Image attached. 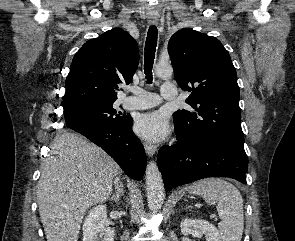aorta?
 <instances>
[{
    "label": "aorta",
    "instance_id": "1",
    "mask_svg": "<svg viewBox=\"0 0 295 241\" xmlns=\"http://www.w3.org/2000/svg\"><path fill=\"white\" fill-rule=\"evenodd\" d=\"M155 74L160 78L171 77L173 68L170 64L156 65ZM146 190L149 209L159 210L165 199V189L161 173L155 162L151 161L146 168Z\"/></svg>",
    "mask_w": 295,
    "mask_h": 241
}]
</instances>
